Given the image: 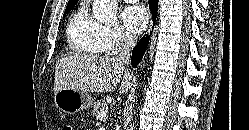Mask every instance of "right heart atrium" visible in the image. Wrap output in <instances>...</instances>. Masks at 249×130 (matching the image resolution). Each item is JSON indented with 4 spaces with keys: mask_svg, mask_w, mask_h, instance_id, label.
I'll return each instance as SVG.
<instances>
[{
    "mask_svg": "<svg viewBox=\"0 0 249 130\" xmlns=\"http://www.w3.org/2000/svg\"><path fill=\"white\" fill-rule=\"evenodd\" d=\"M103 36L108 53L116 54L128 49L133 38L119 26H103Z\"/></svg>",
    "mask_w": 249,
    "mask_h": 130,
    "instance_id": "right-heart-atrium-1",
    "label": "right heart atrium"
}]
</instances>
